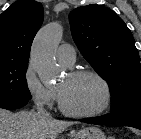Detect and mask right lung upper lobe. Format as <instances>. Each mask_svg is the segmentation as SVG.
Masks as SVG:
<instances>
[{"label": "right lung upper lobe", "mask_w": 141, "mask_h": 139, "mask_svg": "<svg viewBox=\"0 0 141 139\" xmlns=\"http://www.w3.org/2000/svg\"><path fill=\"white\" fill-rule=\"evenodd\" d=\"M43 6L19 0L0 15V61H28L32 41L43 22Z\"/></svg>", "instance_id": "cb5924a9"}]
</instances>
